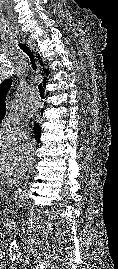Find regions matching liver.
<instances>
[{"mask_svg":"<svg viewBox=\"0 0 118 269\" xmlns=\"http://www.w3.org/2000/svg\"><path fill=\"white\" fill-rule=\"evenodd\" d=\"M17 130L6 127L0 131V178L15 171L17 175L23 174V163L25 159V145L16 146ZM22 139L27 140L26 132H22Z\"/></svg>","mask_w":118,"mask_h":269,"instance_id":"liver-1","label":"liver"}]
</instances>
